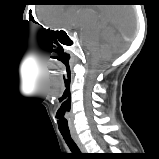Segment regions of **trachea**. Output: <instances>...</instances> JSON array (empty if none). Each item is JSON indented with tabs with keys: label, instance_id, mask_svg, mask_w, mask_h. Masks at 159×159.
Here are the masks:
<instances>
[{
	"label": "trachea",
	"instance_id": "3493384b",
	"mask_svg": "<svg viewBox=\"0 0 159 159\" xmlns=\"http://www.w3.org/2000/svg\"><path fill=\"white\" fill-rule=\"evenodd\" d=\"M63 139L65 140L67 146L74 154H80V150L74 140L72 139L70 133H61Z\"/></svg>",
	"mask_w": 159,
	"mask_h": 159
}]
</instances>
